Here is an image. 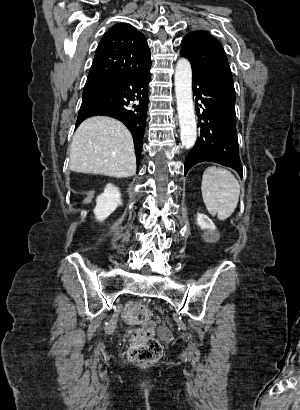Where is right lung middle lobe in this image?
<instances>
[{
	"mask_svg": "<svg viewBox=\"0 0 300 410\" xmlns=\"http://www.w3.org/2000/svg\"><path fill=\"white\" fill-rule=\"evenodd\" d=\"M100 84H101V83H89V82H86L85 87H84V90L90 89V88H93V87H96V86H98V85H100Z\"/></svg>",
	"mask_w": 300,
	"mask_h": 410,
	"instance_id": "dd1d6c3e",
	"label": "right lung middle lobe"
}]
</instances>
